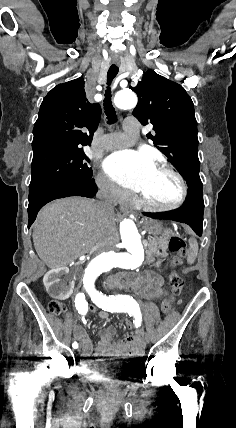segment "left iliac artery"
<instances>
[{"instance_id":"44dca946","label":"left iliac artery","mask_w":236,"mask_h":428,"mask_svg":"<svg viewBox=\"0 0 236 428\" xmlns=\"http://www.w3.org/2000/svg\"><path fill=\"white\" fill-rule=\"evenodd\" d=\"M93 303L108 312H127L136 308L139 304L129 295H103L102 292L88 291Z\"/></svg>"}]
</instances>
